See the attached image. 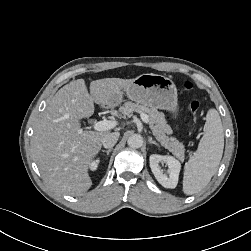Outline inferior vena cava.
<instances>
[{"label": "inferior vena cava", "instance_id": "602c4592", "mask_svg": "<svg viewBox=\"0 0 251 251\" xmlns=\"http://www.w3.org/2000/svg\"><path fill=\"white\" fill-rule=\"evenodd\" d=\"M119 135V132H113L105 135L102 139V145L104 148H112L117 143Z\"/></svg>", "mask_w": 251, "mask_h": 251}]
</instances>
